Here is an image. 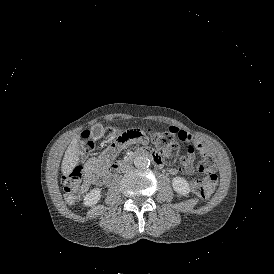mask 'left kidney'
<instances>
[{
	"label": "left kidney",
	"mask_w": 274,
	"mask_h": 274,
	"mask_svg": "<svg viewBox=\"0 0 274 274\" xmlns=\"http://www.w3.org/2000/svg\"><path fill=\"white\" fill-rule=\"evenodd\" d=\"M173 187L180 194H187L190 190L186 180L180 177L173 179Z\"/></svg>",
	"instance_id": "5707ae66"
}]
</instances>
